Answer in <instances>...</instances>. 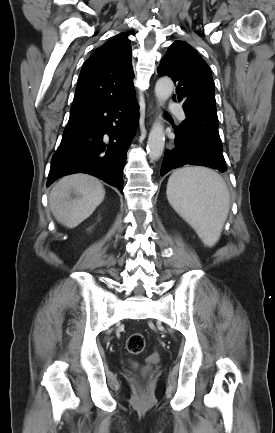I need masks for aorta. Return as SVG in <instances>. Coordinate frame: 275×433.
Listing matches in <instances>:
<instances>
[{"label":"aorta","mask_w":275,"mask_h":433,"mask_svg":"<svg viewBox=\"0 0 275 433\" xmlns=\"http://www.w3.org/2000/svg\"><path fill=\"white\" fill-rule=\"evenodd\" d=\"M173 81L168 77L160 78L155 85V96L158 102L164 103L172 94ZM165 134L163 125L156 121L149 133L147 142V152L151 160H158L164 150Z\"/></svg>","instance_id":"aorta-1"}]
</instances>
